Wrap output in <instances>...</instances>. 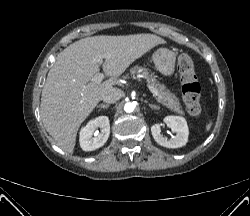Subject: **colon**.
<instances>
[{"mask_svg":"<svg viewBox=\"0 0 250 216\" xmlns=\"http://www.w3.org/2000/svg\"><path fill=\"white\" fill-rule=\"evenodd\" d=\"M178 70L186 109L192 116H199L202 111L200 104L201 89L195 73L194 62L190 55L183 53L178 57Z\"/></svg>","mask_w":250,"mask_h":216,"instance_id":"5ec220e1","label":"colon"}]
</instances>
